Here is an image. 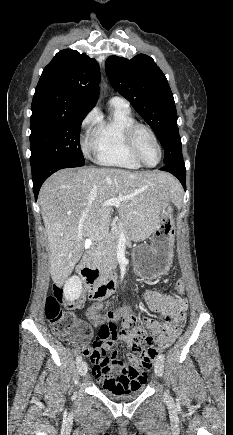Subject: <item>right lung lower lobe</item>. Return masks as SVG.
<instances>
[{
  "label": "right lung lower lobe",
  "mask_w": 233,
  "mask_h": 435,
  "mask_svg": "<svg viewBox=\"0 0 233 435\" xmlns=\"http://www.w3.org/2000/svg\"><path fill=\"white\" fill-rule=\"evenodd\" d=\"M73 167H77V166L60 160L45 161V162L38 163L35 166H32L31 167L32 180H33V191H34L35 199L37 200L39 190L43 182L51 174L63 168H73Z\"/></svg>",
  "instance_id": "obj_1"
}]
</instances>
